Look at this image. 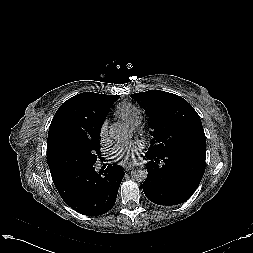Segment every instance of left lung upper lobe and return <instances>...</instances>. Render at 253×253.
Instances as JSON below:
<instances>
[{"instance_id": "left-lung-upper-lobe-1", "label": "left lung upper lobe", "mask_w": 253, "mask_h": 253, "mask_svg": "<svg viewBox=\"0 0 253 253\" xmlns=\"http://www.w3.org/2000/svg\"><path fill=\"white\" fill-rule=\"evenodd\" d=\"M130 97L149 115L154 138L147 152L164 154L182 148L206 151V139L199 115L182 97L149 90Z\"/></svg>"}]
</instances>
